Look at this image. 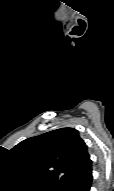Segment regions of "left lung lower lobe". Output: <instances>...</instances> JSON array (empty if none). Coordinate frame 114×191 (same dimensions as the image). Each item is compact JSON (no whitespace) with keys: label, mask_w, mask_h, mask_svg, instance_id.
<instances>
[{"label":"left lung lower lobe","mask_w":114,"mask_h":191,"mask_svg":"<svg viewBox=\"0 0 114 191\" xmlns=\"http://www.w3.org/2000/svg\"><path fill=\"white\" fill-rule=\"evenodd\" d=\"M91 182L92 168L89 160L61 191H90Z\"/></svg>","instance_id":"left-lung-lower-lobe-1"}]
</instances>
